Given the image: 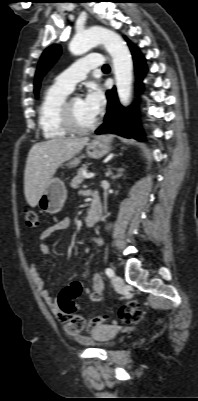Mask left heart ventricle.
<instances>
[{"label":"left heart ventricle","mask_w":198,"mask_h":401,"mask_svg":"<svg viewBox=\"0 0 198 401\" xmlns=\"http://www.w3.org/2000/svg\"><path fill=\"white\" fill-rule=\"evenodd\" d=\"M72 109L75 121L79 126H88L96 119V117L90 114L86 109L83 100L80 98L73 99Z\"/></svg>","instance_id":"obj_1"}]
</instances>
